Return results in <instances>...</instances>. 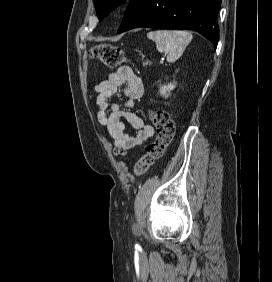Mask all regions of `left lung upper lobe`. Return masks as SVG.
I'll return each instance as SVG.
<instances>
[{
    "label": "left lung upper lobe",
    "instance_id": "5c2ea615",
    "mask_svg": "<svg viewBox=\"0 0 272 282\" xmlns=\"http://www.w3.org/2000/svg\"><path fill=\"white\" fill-rule=\"evenodd\" d=\"M127 0H95V8L99 21L107 16L112 10Z\"/></svg>",
    "mask_w": 272,
    "mask_h": 282
}]
</instances>
